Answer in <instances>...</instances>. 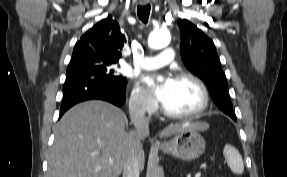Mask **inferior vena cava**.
Returning a JSON list of instances; mask_svg holds the SVG:
<instances>
[{
    "label": "inferior vena cava",
    "mask_w": 287,
    "mask_h": 177,
    "mask_svg": "<svg viewBox=\"0 0 287 177\" xmlns=\"http://www.w3.org/2000/svg\"><path fill=\"white\" fill-rule=\"evenodd\" d=\"M131 122L134 124L137 138H145L149 135V120L145 116V109L136 105L130 109ZM140 172V151L136 147L132 155L127 159L123 167V177H139Z\"/></svg>",
    "instance_id": "602c4592"
}]
</instances>
